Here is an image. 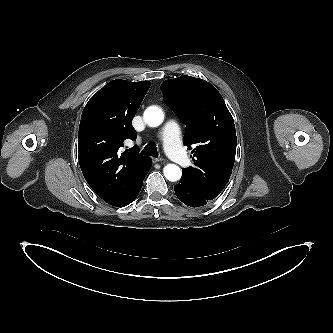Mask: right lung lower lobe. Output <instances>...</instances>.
<instances>
[{
    "label": "right lung lower lobe",
    "mask_w": 333,
    "mask_h": 333,
    "mask_svg": "<svg viewBox=\"0 0 333 333\" xmlns=\"http://www.w3.org/2000/svg\"><path fill=\"white\" fill-rule=\"evenodd\" d=\"M152 165V164H151ZM150 168H151V166H150ZM149 168V169H150ZM149 171V170H148ZM148 173V172H147ZM147 175V174H146ZM145 175V176H146ZM144 179V178H143ZM142 183H143V180L141 181V183H140V185H139V187H138V189H137V191H136V193H135V195L133 196V198L131 199V201L129 202V203H131L133 200H135V198L137 197V195L139 194V192H140V190H141V187H142ZM128 203V204H129Z\"/></svg>",
    "instance_id": "obj_1"
}]
</instances>
